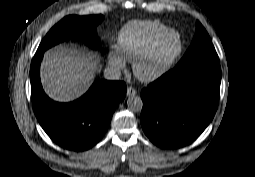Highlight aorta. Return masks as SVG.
Segmentation results:
<instances>
[{
	"label": "aorta",
	"instance_id": "aorta-1",
	"mask_svg": "<svg viewBox=\"0 0 255 177\" xmlns=\"http://www.w3.org/2000/svg\"><path fill=\"white\" fill-rule=\"evenodd\" d=\"M127 107L130 111L139 112L142 110L143 102L139 96H131L127 99Z\"/></svg>",
	"mask_w": 255,
	"mask_h": 177
}]
</instances>
